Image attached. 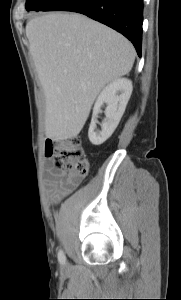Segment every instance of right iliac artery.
<instances>
[{"instance_id":"obj_1","label":"right iliac artery","mask_w":181,"mask_h":300,"mask_svg":"<svg viewBox=\"0 0 181 300\" xmlns=\"http://www.w3.org/2000/svg\"><path fill=\"white\" fill-rule=\"evenodd\" d=\"M58 260H59V262H60L61 264H65V262H66V257H65V255H64V253H63L62 250H60V251L58 252Z\"/></svg>"}]
</instances>
